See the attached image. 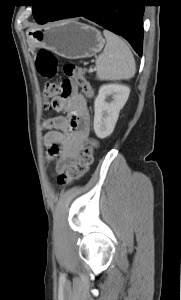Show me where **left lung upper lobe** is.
Listing matches in <instances>:
<instances>
[{
  "mask_svg": "<svg viewBox=\"0 0 181 300\" xmlns=\"http://www.w3.org/2000/svg\"><path fill=\"white\" fill-rule=\"evenodd\" d=\"M39 1L44 0H34V5L32 8L33 16L38 21V23L43 24L46 23L47 20L55 13L58 6H45L37 3Z\"/></svg>",
  "mask_w": 181,
  "mask_h": 300,
  "instance_id": "left-lung-upper-lobe-1",
  "label": "left lung upper lobe"
}]
</instances>
